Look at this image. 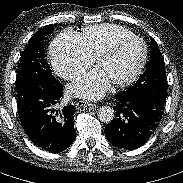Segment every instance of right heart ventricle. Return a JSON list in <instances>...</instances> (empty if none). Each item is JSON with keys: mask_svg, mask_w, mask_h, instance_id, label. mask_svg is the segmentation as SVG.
Masks as SVG:
<instances>
[{"mask_svg": "<svg viewBox=\"0 0 183 183\" xmlns=\"http://www.w3.org/2000/svg\"><path fill=\"white\" fill-rule=\"evenodd\" d=\"M130 35L134 34L128 29L114 24L90 26L79 34L85 51L92 59L115 40Z\"/></svg>", "mask_w": 183, "mask_h": 183, "instance_id": "obj_1", "label": "right heart ventricle"}]
</instances>
